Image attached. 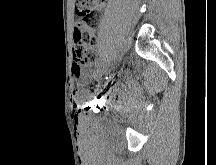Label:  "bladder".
<instances>
[{
    "label": "bladder",
    "instance_id": "obj_1",
    "mask_svg": "<svg viewBox=\"0 0 216 165\" xmlns=\"http://www.w3.org/2000/svg\"><path fill=\"white\" fill-rule=\"evenodd\" d=\"M104 93H105V94H110V93H111V90H110V89H105V90H104Z\"/></svg>",
    "mask_w": 216,
    "mask_h": 165
}]
</instances>
